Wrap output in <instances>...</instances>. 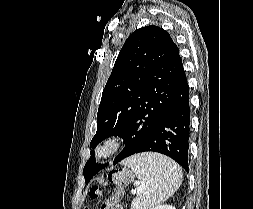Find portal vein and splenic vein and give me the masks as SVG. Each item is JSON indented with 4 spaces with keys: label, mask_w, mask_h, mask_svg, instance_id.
I'll list each match as a JSON object with an SVG mask.
<instances>
[{
    "label": "portal vein and splenic vein",
    "mask_w": 253,
    "mask_h": 209,
    "mask_svg": "<svg viewBox=\"0 0 253 209\" xmlns=\"http://www.w3.org/2000/svg\"><path fill=\"white\" fill-rule=\"evenodd\" d=\"M142 191H143L142 188L139 187V188H136L135 190H132V193H133V194H139V193H141Z\"/></svg>",
    "instance_id": "obj_1"
}]
</instances>
